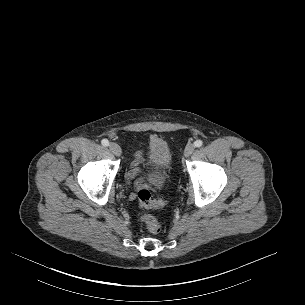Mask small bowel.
Masks as SVG:
<instances>
[{
    "label": "small bowel",
    "mask_w": 305,
    "mask_h": 305,
    "mask_svg": "<svg viewBox=\"0 0 305 305\" xmlns=\"http://www.w3.org/2000/svg\"><path fill=\"white\" fill-rule=\"evenodd\" d=\"M143 159H144V150L141 149V150L137 151L135 156H134L133 166H136L137 164H139ZM136 172H137L136 170H132L131 172L128 173V175H127V183L128 184L131 183V181H132ZM142 186H143V180L141 178L134 182V187L136 189H139ZM132 197H134V195H132Z\"/></svg>",
    "instance_id": "c3829d8e"
}]
</instances>
